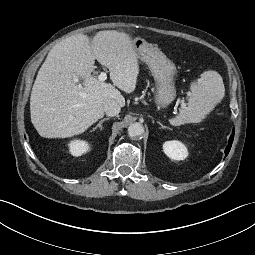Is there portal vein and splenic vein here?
I'll return each instance as SVG.
<instances>
[{"label":"portal vein and splenic vein","instance_id":"1","mask_svg":"<svg viewBox=\"0 0 255 255\" xmlns=\"http://www.w3.org/2000/svg\"><path fill=\"white\" fill-rule=\"evenodd\" d=\"M107 79V75L105 72H101L100 75L98 76V80L100 82H104ZM75 81L78 83L79 79H75ZM80 85V84H79Z\"/></svg>","mask_w":255,"mask_h":255}]
</instances>
